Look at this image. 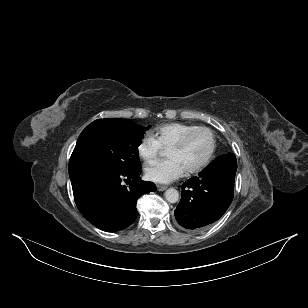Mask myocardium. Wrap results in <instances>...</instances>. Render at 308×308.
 <instances>
[{
	"label": "myocardium",
	"instance_id": "myocardium-1",
	"mask_svg": "<svg viewBox=\"0 0 308 308\" xmlns=\"http://www.w3.org/2000/svg\"><path fill=\"white\" fill-rule=\"evenodd\" d=\"M200 131H206L210 134L211 139H212L211 149H210L208 155L206 156V158L199 165L185 171L186 174H188V175L196 174V173L203 171L211 163V161H212V159L215 155L216 148H217V138H216L214 131L212 129L208 128V127L199 126L195 129H192V130L186 132L181 138H179L175 143H173L168 148V149H181V148H183L186 145V143L189 141V139L193 135H195L196 133H198Z\"/></svg>",
	"mask_w": 308,
	"mask_h": 308
}]
</instances>
